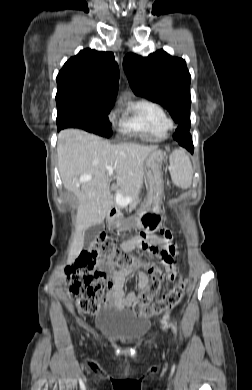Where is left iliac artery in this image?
I'll return each mask as SVG.
<instances>
[{
    "label": "left iliac artery",
    "instance_id": "left-iliac-artery-1",
    "mask_svg": "<svg viewBox=\"0 0 252 390\" xmlns=\"http://www.w3.org/2000/svg\"><path fill=\"white\" fill-rule=\"evenodd\" d=\"M171 326H172V329H173L174 333L176 334V328H175V326H174L173 324H171Z\"/></svg>",
    "mask_w": 252,
    "mask_h": 390
}]
</instances>
